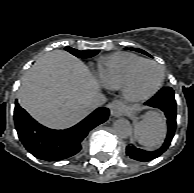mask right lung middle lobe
Masks as SVG:
<instances>
[{
  "instance_id": "dd1d6c3e",
  "label": "right lung middle lobe",
  "mask_w": 194,
  "mask_h": 193,
  "mask_svg": "<svg viewBox=\"0 0 194 193\" xmlns=\"http://www.w3.org/2000/svg\"><path fill=\"white\" fill-rule=\"evenodd\" d=\"M65 49L69 51L71 54L75 55L76 57L83 59L90 58L99 52L98 50L79 51L71 47H66Z\"/></svg>"
}]
</instances>
